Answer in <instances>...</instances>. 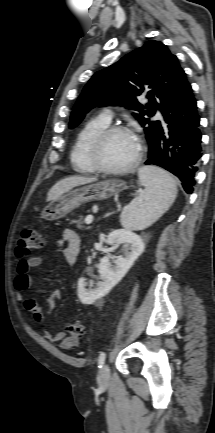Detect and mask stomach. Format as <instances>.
I'll return each mask as SVG.
<instances>
[{
	"label": "stomach",
	"mask_w": 215,
	"mask_h": 433,
	"mask_svg": "<svg viewBox=\"0 0 215 433\" xmlns=\"http://www.w3.org/2000/svg\"><path fill=\"white\" fill-rule=\"evenodd\" d=\"M125 188L122 181L105 180L72 189L53 200L42 212V218L49 221L61 219L83 203L110 198Z\"/></svg>",
	"instance_id": "stomach-1"
}]
</instances>
